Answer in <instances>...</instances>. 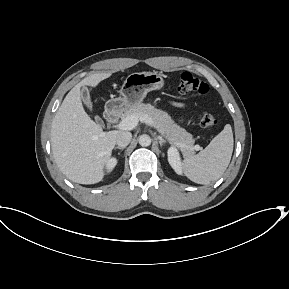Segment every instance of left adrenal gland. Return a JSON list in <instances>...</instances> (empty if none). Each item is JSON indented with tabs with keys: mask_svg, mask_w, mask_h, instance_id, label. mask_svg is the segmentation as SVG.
I'll list each match as a JSON object with an SVG mask.
<instances>
[{
	"mask_svg": "<svg viewBox=\"0 0 289 289\" xmlns=\"http://www.w3.org/2000/svg\"><path fill=\"white\" fill-rule=\"evenodd\" d=\"M156 139L158 140L161 147L163 146V144L166 143V140L162 138L161 136H157Z\"/></svg>",
	"mask_w": 289,
	"mask_h": 289,
	"instance_id": "left-adrenal-gland-1",
	"label": "left adrenal gland"
}]
</instances>
